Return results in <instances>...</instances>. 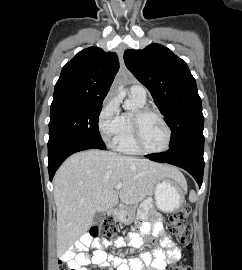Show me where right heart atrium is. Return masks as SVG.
<instances>
[{"label":"right heart atrium","instance_id":"1","mask_svg":"<svg viewBox=\"0 0 242 270\" xmlns=\"http://www.w3.org/2000/svg\"><path fill=\"white\" fill-rule=\"evenodd\" d=\"M99 132L106 143H113L121 127V114L117 99L109 94L98 115Z\"/></svg>","mask_w":242,"mask_h":270}]
</instances>
